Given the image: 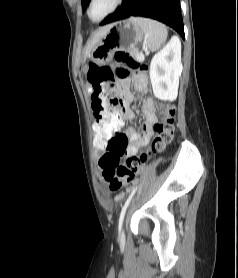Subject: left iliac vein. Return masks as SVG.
Listing matches in <instances>:
<instances>
[{"label": "left iliac vein", "mask_w": 238, "mask_h": 278, "mask_svg": "<svg viewBox=\"0 0 238 278\" xmlns=\"http://www.w3.org/2000/svg\"><path fill=\"white\" fill-rule=\"evenodd\" d=\"M123 235H124V232L122 231V234H121V236L123 237Z\"/></svg>", "instance_id": "obj_1"}]
</instances>
